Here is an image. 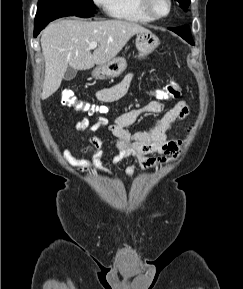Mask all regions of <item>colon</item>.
I'll list each match as a JSON object with an SVG mask.
<instances>
[{"mask_svg": "<svg viewBox=\"0 0 243 289\" xmlns=\"http://www.w3.org/2000/svg\"><path fill=\"white\" fill-rule=\"evenodd\" d=\"M155 95L160 101L175 100L180 97L181 88L176 81H170L164 87L156 90ZM61 103L88 115L106 112L105 107H99L89 101L78 99L71 89H64L61 92Z\"/></svg>", "mask_w": 243, "mask_h": 289, "instance_id": "obj_1", "label": "colon"}]
</instances>
